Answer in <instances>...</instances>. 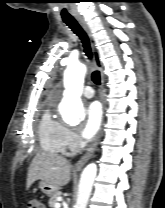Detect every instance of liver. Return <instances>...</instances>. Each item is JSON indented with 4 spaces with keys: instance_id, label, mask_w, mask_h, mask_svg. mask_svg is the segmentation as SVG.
I'll use <instances>...</instances> for the list:
<instances>
[{
    "instance_id": "6515ba94",
    "label": "liver",
    "mask_w": 165,
    "mask_h": 208,
    "mask_svg": "<svg viewBox=\"0 0 165 208\" xmlns=\"http://www.w3.org/2000/svg\"><path fill=\"white\" fill-rule=\"evenodd\" d=\"M70 162L60 155L40 153L32 160L27 177V189L38 179L57 189L70 181Z\"/></svg>"
}]
</instances>
